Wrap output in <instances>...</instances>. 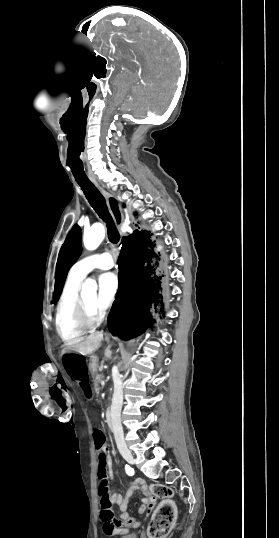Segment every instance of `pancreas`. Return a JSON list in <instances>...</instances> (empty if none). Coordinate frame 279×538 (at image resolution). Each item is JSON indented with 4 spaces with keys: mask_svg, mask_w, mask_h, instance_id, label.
Segmentation results:
<instances>
[{
    "mask_svg": "<svg viewBox=\"0 0 279 538\" xmlns=\"http://www.w3.org/2000/svg\"><path fill=\"white\" fill-rule=\"evenodd\" d=\"M91 360H92V356H91ZM93 382H94V390H95V392H99V390H100L99 382H102V376H96V378H94Z\"/></svg>",
    "mask_w": 279,
    "mask_h": 538,
    "instance_id": "obj_1",
    "label": "pancreas"
}]
</instances>
